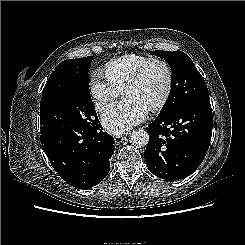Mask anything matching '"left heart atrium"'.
<instances>
[{
  "label": "left heart atrium",
  "mask_w": 245,
  "mask_h": 245,
  "mask_svg": "<svg viewBox=\"0 0 245 245\" xmlns=\"http://www.w3.org/2000/svg\"><path fill=\"white\" fill-rule=\"evenodd\" d=\"M148 108L133 97H126L112 105L103 115L105 128L112 133H123L142 122Z\"/></svg>",
  "instance_id": "obj_1"
}]
</instances>
